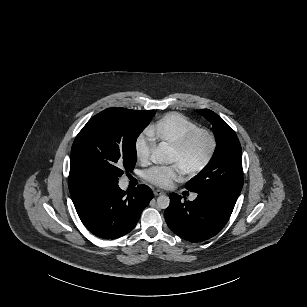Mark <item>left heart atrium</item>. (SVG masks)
Returning a JSON list of instances; mask_svg holds the SVG:
<instances>
[{"mask_svg":"<svg viewBox=\"0 0 307 307\" xmlns=\"http://www.w3.org/2000/svg\"><path fill=\"white\" fill-rule=\"evenodd\" d=\"M186 169L179 163L155 164L143 172L144 178L159 187H169L173 181L182 180Z\"/></svg>","mask_w":307,"mask_h":307,"instance_id":"39dd6f15","label":"left heart atrium"}]
</instances>
